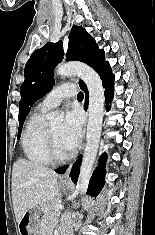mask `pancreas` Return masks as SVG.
Here are the masks:
<instances>
[{
  "label": "pancreas",
  "mask_w": 155,
  "mask_h": 235,
  "mask_svg": "<svg viewBox=\"0 0 155 235\" xmlns=\"http://www.w3.org/2000/svg\"><path fill=\"white\" fill-rule=\"evenodd\" d=\"M60 204L59 199H54L50 203H45L42 205L43 211H44V216L49 217V216H54L56 214L55 206Z\"/></svg>",
  "instance_id": "pancreas-1"
}]
</instances>
